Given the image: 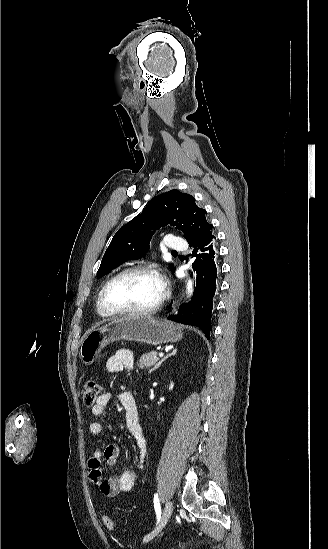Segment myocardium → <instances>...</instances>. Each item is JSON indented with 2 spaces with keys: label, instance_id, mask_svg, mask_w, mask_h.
I'll return each instance as SVG.
<instances>
[{
  "label": "myocardium",
  "instance_id": "obj_1",
  "mask_svg": "<svg viewBox=\"0 0 328 549\" xmlns=\"http://www.w3.org/2000/svg\"><path fill=\"white\" fill-rule=\"evenodd\" d=\"M158 268H164V265L157 261H139L134 262L131 264H128L124 266L120 271H118L113 277H111L102 287L100 294H99V300L101 303V310L104 314H106L109 317H129V316H148L155 314L162 304L164 303L167 295V287L164 283ZM133 271H147L150 273L155 274L158 276L161 281H163V291L161 296L158 298L156 302H154L150 307L143 308V309H128V310H115L113 309L107 300V292L111 285L116 282L119 278L124 276L127 273L133 272Z\"/></svg>",
  "mask_w": 328,
  "mask_h": 549
}]
</instances>
